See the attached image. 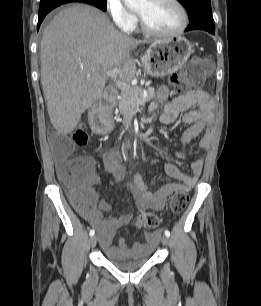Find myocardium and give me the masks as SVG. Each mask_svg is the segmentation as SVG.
<instances>
[{
  "label": "myocardium",
  "instance_id": "obj_1",
  "mask_svg": "<svg viewBox=\"0 0 261 306\" xmlns=\"http://www.w3.org/2000/svg\"><path fill=\"white\" fill-rule=\"evenodd\" d=\"M169 1L173 3L180 12L181 21H180L179 26L175 30L170 31V32L158 31L150 27L145 22V20L137 13L136 17H137L138 25L144 33L151 35V36H156V37H174V36H178L182 34L186 30L189 24V15H188L187 9L185 8V6L180 0H169Z\"/></svg>",
  "mask_w": 261,
  "mask_h": 306
}]
</instances>
